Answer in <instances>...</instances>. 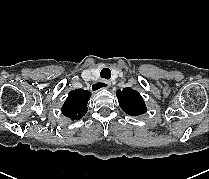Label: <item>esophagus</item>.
Wrapping results in <instances>:
<instances>
[{"mask_svg":"<svg viewBox=\"0 0 209 179\" xmlns=\"http://www.w3.org/2000/svg\"><path fill=\"white\" fill-rule=\"evenodd\" d=\"M110 81H108V80H102L100 83H97V84H94L93 86H92V89L93 90H97V89H99L100 87H102V88H109L110 87Z\"/></svg>","mask_w":209,"mask_h":179,"instance_id":"34e87169","label":"esophagus"}]
</instances>
